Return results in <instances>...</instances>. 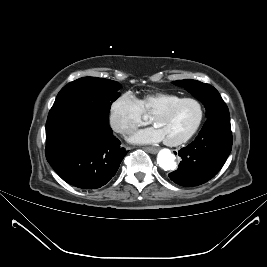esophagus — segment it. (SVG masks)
<instances>
[{
  "label": "esophagus",
  "instance_id": "1",
  "mask_svg": "<svg viewBox=\"0 0 267 267\" xmlns=\"http://www.w3.org/2000/svg\"><path fill=\"white\" fill-rule=\"evenodd\" d=\"M144 149H145L147 152L152 153V154H156V153L159 151V149L156 148V147H144Z\"/></svg>",
  "mask_w": 267,
  "mask_h": 267
}]
</instances>
